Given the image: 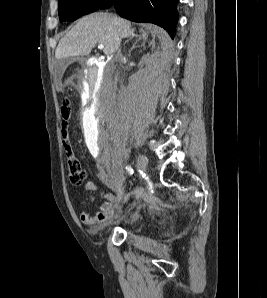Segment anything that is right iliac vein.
Masks as SVG:
<instances>
[{
	"label": "right iliac vein",
	"instance_id": "63e3f726",
	"mask_svg": "<svg viewBox=\"0 0 267 298\" xmlns=\"http://www.w3.org/2000/svg\"><path fill=\"white\" fill-rule=\"evenodd\" d=\"M147 164H148L147 158L143 154H139L138 168L141 172H146Z\"/></svg>",
	"mask_w": 267,
	"mask_h": 298
}]
</instances>
